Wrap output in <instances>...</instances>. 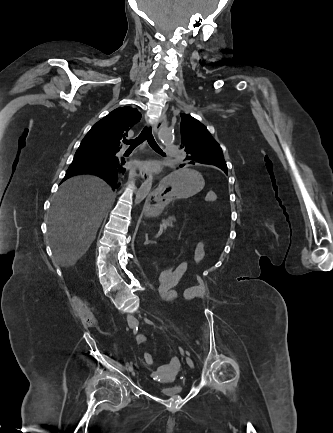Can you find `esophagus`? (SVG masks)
Here are the masks:
<instances>
[{
    "instance_id": "esophagus-1",
    "label": "esophagus",
    "mask_w": 333,
    "mask_h": 433,
    "mask_svg": "<svg viewBox=\"0 0 333 433\" xmlns=\"http://www.w3.org/2000/svg\"><path fill=\"white\" fill-rule=\"evenodd\" d=\"M164 120H165V115L161 116L160 118H158L156 120V123L153 127V133L154 134H158L159 130L163 126ZM140 177L142 178V180L146 181L150 177V173L146 169H141L140 170Z\"/></svg>"
}]
</instances>
